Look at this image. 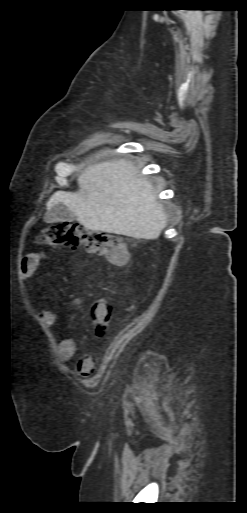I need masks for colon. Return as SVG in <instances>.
I'll list each match as a JSON object with an SVG mask.
<instances>
[{
	"mask_svg": "<svg viewBox=\"0 0 247 513\" xmlns=\"http://www.w3.org/2000/svg\"><path fill=\"white\" fill-rule=\"evenodd\" d=\"M44 238L51 244L83 247L89 253L106 256L111 263L119 266L128 265L131 259L126 244L117 236L89 231L77 223L63 222L51 225L45 230ZM90 313L92 324L100 336L103 328H108L111 324L113 304L110 300H93L90 304Z\"/></svg>",
	"mask_w": 247,
	"mask_h": 513,
	"instance_id": "5ec220e1",
	"label": "colon"
}]
</instances>
